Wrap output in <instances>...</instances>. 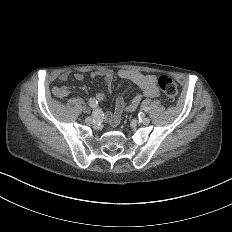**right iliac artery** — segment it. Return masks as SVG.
Returning a JSON list of instances; mask_svg holds the SVG:
<instances>
[{
  "label": "right iliac artery",
  "mask_w": 232,
  "mask_h": 232,
  "mask_svg": "<svg viewBox=\"0 0 232 232\" xmlns=\"http://www.w3.org/2000/svg\"><path fill=\"white\" fill-rule=\"evenodd\" d=\"M89 106L93 109L96 108L98 106V100L94 97L90 98L89 99Z\"/></svg>",
  "instance_id": "right-iliac-artery-1"
}]
</instances>
